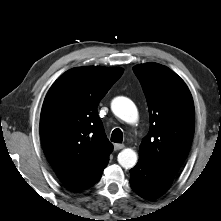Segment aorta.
I'll list each match as a JSON object with an SVG mask.
<instances>
[{"instance_id":"aorta-1","label":"aorta","mask_w":221,"mask_h":221,"mask_svg":"<svg viewBox=\"0 0 221 221\" xmlns=\"http://www.w3.org/2000/svg\"><path fill=\"white\" fill-rule=\"evenodd\" d=\"M113 113L123 121L133 124L138 120L135 104L126 97H116L111 103ZM118 162L125 169L133 168L137 163V154L130 148L123 149L118 154Z\"/></svg>"}]
</instances>
